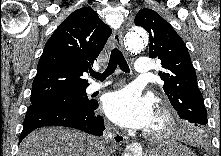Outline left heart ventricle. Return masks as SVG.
<instances>
[{
    "instance_id": "b2bd125f",
    "label": "left heart ventricle",
    "mask_w": 221,
    "mask_h": 156,
    "mask_svg": "<svg viewBox=\"0 0 221 156\" xmlns=\"http://www.w3.org/2000/svg\"><path fill=\"white\" fill-rule=\"evenodd\" d=\"M156 125V120L153 121L152 125L150 126V128L154 127Z\"/></svg>"
}]
</instances>
